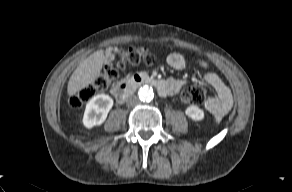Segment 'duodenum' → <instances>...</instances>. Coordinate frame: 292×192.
Listing matches in <instances>:
<instances>
[{
  "label": "duodenum",
  "mask_w": 292,
  "mask_h": 192,
  "mask_svg": "<svg viewBox=\"0 0 292 192\" xmlns=\"http://www.w3.org/2000/svg\"><path fill=\"white\" fill-rule=\"evenodd\" d=\"M141 85H150L157 89L160 95H166L168 92L167 82L161 79L149 77L147 75L137 74L131 78L124 79L118 83L112 90L117 101L124 102L137 87Z\"/></svg>",
  "instance_id": "1"
}]
</instances>
